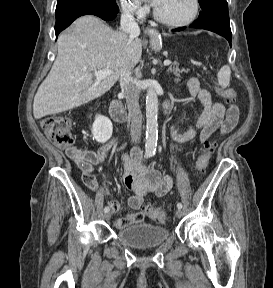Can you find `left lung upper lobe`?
Here are the masks:
<instances>
[{"mask_svg":"<svg viewBox=\"0 0 273 288\" xmlns=\"http://www.w3.org/2000/svg\"><path fill=\"white\" fill-rule=\"evenodd\" d=\"M202 11H209L220 6H227L226 0H198Z\"/></svg>","mask_w":273,"mask_h":288,"instance_id":"obj_1","label":"left lung upper lobe"}]
</instances>
